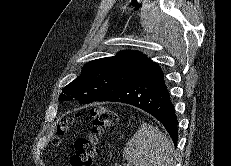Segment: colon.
Returning a JSON list of instances; mask_svg holds the SVG:
<instances>
[{
    "mask_svg": "<svg viewBox=\"0 0 231 166\" xmlns=\"http://www.w3.org/2000/svg\"><path fill=\"white\" fill-rule=\"evenodd\" d=\"M92 129L87 135L75 142V152L71 156V166H93L98 154L99 142L105 130L116 122L114 112L106 106H95L92 109ZM68 128L67 122H62L57 129L54 143L58 144Z\"/></svg>",
    "mask_w": 231,
    "mask_h": 166,
    "instance_id": "colon-1",
    "label": "colon"
}]
</instances>
